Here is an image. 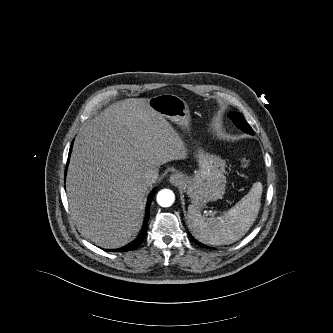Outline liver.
Masks as SVG:
<instances>
[{
    "label": "liver",
    "instance_id": "obj_1",
    "mask_svg": "<svg viewBox=\"0 0 333 333\" xmlns=\"http://www.w3.org/2000/svg\"><path fill=\"white\" fill-rule=\"evenodd\" d=\"M186 157L184 143L148 98L115 102L75 139L67 175L71 215L96 245H126L142 222L146 173Z\"/></svg>",
    "mask_w": 333,
    "mask_h": 333
}]
</instances>
